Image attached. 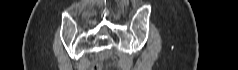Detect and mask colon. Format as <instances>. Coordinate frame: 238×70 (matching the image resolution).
Wrapping results in <instances>:
<instances>
[{
  "label": "colon",
  "instance_id": "colon-1",
  "mask_svg": "<svg viewBox=\"0 0 238 70\" xmlns=\"http://www.w3.org/2000/svg\"><path fill=\"white\" fill-rule=\"evenodd\" d=\"M92 70H100V65L99 64H95L93 66Z\"/></svg>",
  "mask_w": 238,
  "mask_h": 70
}]
</instances>
